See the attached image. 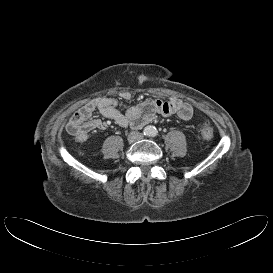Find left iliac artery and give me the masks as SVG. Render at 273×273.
Instances as JSON below:
<instances>
[{"label": "left iliac artery", "instance_id": "left-iliac-artery-1", "mask_svg": "<svg viewBox=\"0 0 273 273\" xmlns=\"http://www.w3.org/2000/svg\"><path fill=\"white\" fill-rule=\"evenodd\" d=\"M157 134H158V131L155 129V130L152 131L151 135H152V137H155V136H157Z\"/></svg>", "mask_w": 273, "mask_h": 273}]
</instances>
